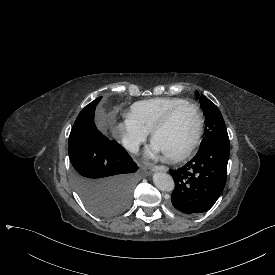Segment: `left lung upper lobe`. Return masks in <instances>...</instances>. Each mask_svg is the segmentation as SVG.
<instances>
[{
	"label": "left lung upper lobe",
	"instance_id": "1",
	"mask_svg": "<svg viewBox=\"0 0 275 275\" xmlns=\"http://www.w3.org/2000/svg\"><path fill=\"white\" fill-rule=\"evenodd\" d=\"M200 101L206 116L205 137L200 148L220 141H229L225 122L217 106L203 95H201Z\"/></svg>",
	"mask_w": 275,
	"mask_h": 275
}]
</instances>
